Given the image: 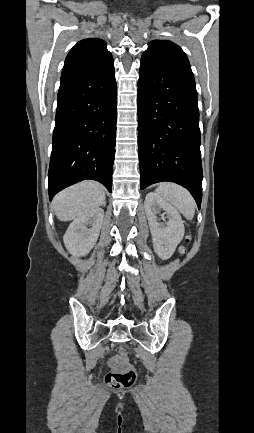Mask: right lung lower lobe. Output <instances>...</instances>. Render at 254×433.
Wrapping results in <instances>:
<instances>
[{
    "instance_id": "obj_1",
    "label": "right lung lower lobe",
    "mask_w": 254,
    "mask_h": 433,
    "mask_svg": "<svg viewBox=\"0 0 254 433\" xmlns=\"http://www.w3.org/2000/svg\"><path fill=\"white\" fill-rule=\"evenodd\" d=\"M57 101L48 172L50 200L86 179L99 181L111 192L117 121L114 60L61 76Z\"/></svg>"
}]
</instances>
